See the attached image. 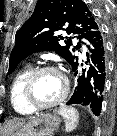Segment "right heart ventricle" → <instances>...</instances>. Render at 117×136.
I'll list each match as a JSON object with an SVG mask.
<instances>
[{"label":"right heart ventricle","mask_w":117,"mask_h":136,"mask_svg":"<svg viewBox=\"0 0 117 136\" xmlns=\"http://www.w3.org/2000/svg\"><path fill=\"white\" fill-rule=\"evenodd\" d=\"M32 72L31 67H25L22 69L13 79L10 89V100L13 109L20 115L26 116L34 113L24 99V86L25 82Z\"/></svg>","instance_id":"right-heart-ventricle-1"}]
</instances>
